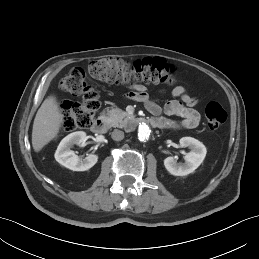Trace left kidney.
<instances>
[{"mask_svg":"<svg viewBox=\"0 0 259 259\" xmlns=\"http://www.w3.org/2000/svg\"><path fill=\"white\" fill-rule=\"evenodd\" d=\"M179 142L181 147L191 149L184 157L185 162L179 164L173 157H167L164 160V166L174 176H185L194 172L201 165L207 151L202 142L192 137H182Z\"/></svg>","mask_w":259,"mask_h":259,"instance_id":"1","label":"left kidney"}]
</instances>
